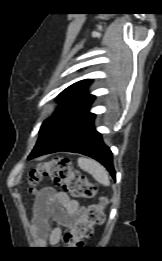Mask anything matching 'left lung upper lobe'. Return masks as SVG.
<instances>
[{"label": "left lung upper lobe", "instance_id": "5c2ea615", "mask_svg": "<svg viewBox=\"0 0 162 261\" xmlns=\"http://www.w3.org/2000/svg\"><path fill=\"white\" fill-rule=\"evenodd\" d=\"M91 80L76 82L60 93L58 109L41 126L40 137L28 159L43 155L79 126L95 117L90 113L94 95L86 92Z\"/></svg>", "mask_w": 162, "mask_h": 261}]
</instances>
